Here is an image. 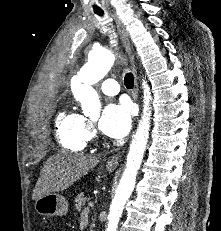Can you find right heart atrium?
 Returning a JSON list of instances; mask_svg holds the SVG:
<instances>
[{"mask_svg":"<svg viewBox=\"0 0 221 231\" xmlns=\"http://www.w3.org/2000/svg\"><path fill=\"white\" fill-rule=\"evenodd\" d=\"M86 128H87V133H86L87 134V138L88 139L93 138L94 135H95V131L93 129V126L90 123L87 122Z\"/></svg>","mask_w":221,"mask_h":231,"instance_id":"1","label":"right heart atrium"}]
</instances>
